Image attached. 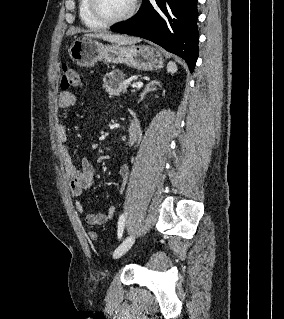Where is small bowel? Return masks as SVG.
<instances>
[{"mask_svg":"<svg viewBox=\"0 0 284 319\" xmlns=\"http://www.w3.org/2000/svg\"><path fill=\"white\" fill-rule=\"evenodd\" d=\"M77 102V97L74 93L70 91H64L62 92L57 100V106L60 109H68L75 105ZM130 126H133L137 129L139 133V124L137 122H133ZM57 138L60 144L63 145V161H64V167L65 172L67 175V178L70 182V190L73 195V197L76 199V210L80 214L85 213L84 206L80 200V198L83 195V192L90 188L95 180V169L92 165V163L87 159L83 158L81 160V167H77L74 162L72 161V158L69 154V151L67 147L65 146V143L67 141L68 133L67 128L64 123H59L57 125ZM129 167L127 165H122L119 174L122 178V182L120 185V191L123 192L126 183L129 177ZM116 208L115 206L111 205L107 208L105 212L100 213H86L84 218L85 222L90 226H100L105 224L108 220L113 218L115 215Z\"/></svg>","mask_w":284,"mask_h":319,"instance_id":"small-bowel-1","label":"small bowel"}]
</instances>
